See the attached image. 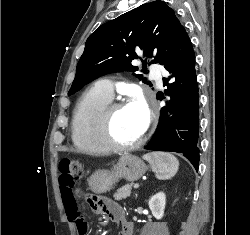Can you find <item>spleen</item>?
Returning a JSON list of instances; mask_svg holds the SVG:
<instances>
[{
    "mask_svg": "<svg viewBox=\"0 0 250 235\" xmlns=\"http://www.w3.org/2000/svg\"><path fill=\"white\" fill-rule=\"evenodd\" d=\"M143 159L149 162L152 171L160 180L172 178L178 171L179 161L167 152H150L143 155Z\"/></svg>",
    "mask_w": 250,
    "mask_h": 235,
    "instance_id": "3e777b00",
    "label": "spleen"
}]
</instances>
